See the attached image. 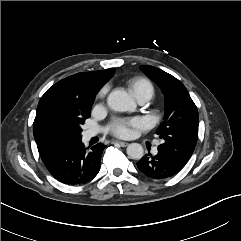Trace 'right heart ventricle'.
<instances>
[{
    "mask_svg": "<svg viewBox=\"0 0 241 241\" xmlns=\"http://www.w3.org/2000/svg\"><path fill=\"white\" fill-rule=\"evenodd\" d=\"M129 90L132 94L139 98L144 95L152 97L154 93V86L150 80L144 77H134L128 81Z\"/></svg>",
    "mask_w": 241,
    "mask_h": 241,
    "instance_id": "obj_1",
    "label": "right heart ventricle"
}]
</instances>
